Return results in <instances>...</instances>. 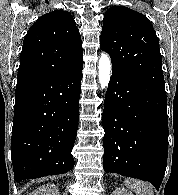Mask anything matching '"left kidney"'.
Instances as JSON below:
<instances>
[{
    "instance_id": "left-kidney-1",
    "label": "left kidney",
    "mask_w": 178,
    "mask_h": 195,
    "mask_svg": "<svg viewBox=\"0 0 178 195\" xmlns=\"http://www.w3.org/2000/svg\"><path fill=\"white\" fill-rule=\"evenodd\" d=\"M111 195H133L132 192L125 188H116Z\"/></svg>"
}]
</instances>
